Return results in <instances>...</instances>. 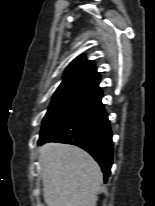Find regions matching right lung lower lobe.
Here are the masks:
<instances>
[{
  "mask_svg": "<svg viewBox=\"0 0 155 206\" xmlns=\"http://www.w3.org/2000/svg\"><path fill=\"white\" fill-rule=\"evenodd\" d=\"M61 142L81 147L99 163L105 182L110 175L113 155V142L110 122L101 103L88 113L40 138L39 144Z\"/></svg>",
  "mask_w": 155,
  "mask_h": 206,
  "instance_id": "obj_1",
  "label": "right lung lower lobe"
}]
</instances>
